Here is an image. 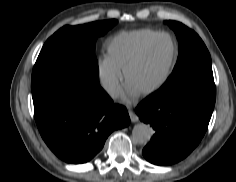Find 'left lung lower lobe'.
<instances>
[{
    "label": "left lung lower lobe",
    "mask_w": 236,
    "mask_h": 182,
    "mask_svg": "<svg viewBox=\"0 0 236 182\" xmlns=\"http://www.w3.org/2000/svg\"><path fill=\"white\" fill-rule=\"evenodd\" d=\"M214 104L190 98L167 100L153 96L136 108L141 121L155 130L143 156L156 165H170L187 157L203 138Z\"/></svg>",
    "instance_id": "1"
}]
</instances>
